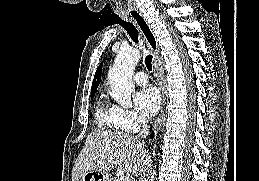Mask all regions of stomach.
<instances>
[{
  "label": "stomach",
  "instance_id": "1",
  "mask_svg": "<svg viewBox=\"0 0 259 181\" xmlns=\"http://www.w3.org/2000/svg\"><path fill=\"white\" fill-rule=\"evenodd\" d=\"M80 181H111L110 175L107 171L90 170L86 172Z\"/></svg>",
  "mask_w": 259,
  "mask_h": 181
}]
</instances>
